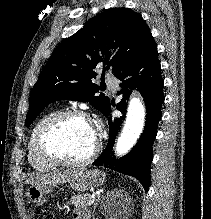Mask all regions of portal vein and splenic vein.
Here are the masks:
<instances>
[{
    "label": "portal vein and splenic vein",
    "instance_id": "1",
    "mask_svg": "<svg viewBox=\"0 0 211 219\" xmlns=\"http://www.w3.org/2000/svg\"><path fill=\"white\" fill-rule=\"evenodd\" d=\"M94 201H95V196H91L87 204L92 205Z\"/></svg>",
    "mask_w": 211,
    "mask_h": 219
}]
</instances>
